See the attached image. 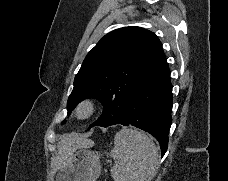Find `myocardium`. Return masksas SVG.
Masks as SVG:
<instances>
[{
    "label": "myocardium",
    "mask_w": 228,
    "mask_h": 181,
    "mask_svg": "<svg viewBox=\"0 0 228 181\" xmlns=\"http://www.w3.org/2000/svg\"><path fill=\"white\" fill-rule=\"evenodd\" d=\"M91 111V106L88 103H84L80 106L79 108V113L80 114H88Z\"/></svg>",
    "instance_id": "f54148a6"
}]
</instances>
